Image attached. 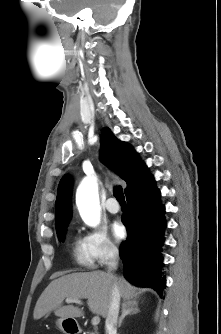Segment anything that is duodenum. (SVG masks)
I'll return each instance as SVG.
<instances>
[{
    "label": "duodenum",
    "mask_w": 221,
    "mask_h": 334,
    "mask_svg": "<svg viewBox=\"0 0 221 334\" xmlns=\"http://www.w3.org/2000/svg\"><path fill=\"white\" fill-rule=\"evenodd\" d=\"M67 332L71 333V334H80V331L77 329H71V330H66Z\"/></svg>",
    "instance_id": "1"
}]
</instances>
